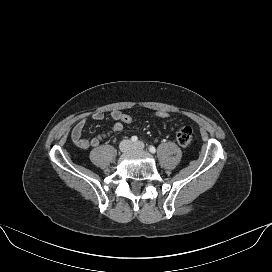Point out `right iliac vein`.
<instances>
[{
  "mask_svg": "<svg viewBox=\"0 0 272 272\" xmlns=\"http://www.w3.org/2000/svg\"><path fill=\"white\" fill-rule=\"evenodd\" d=\"M131 147H132L131 142L129 140H125L121 143L120 150L125 153L129 151Z\"/></svg>",
  "mask_w": 272,
  "mask_h": 272,
  "instance_id": "1",
  "label": "right iliac vein"
}]
</instances>
